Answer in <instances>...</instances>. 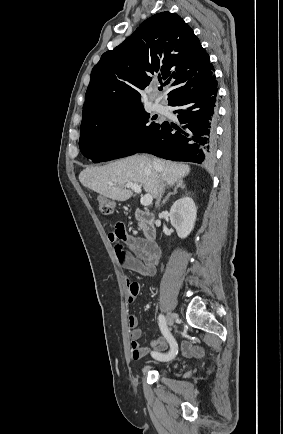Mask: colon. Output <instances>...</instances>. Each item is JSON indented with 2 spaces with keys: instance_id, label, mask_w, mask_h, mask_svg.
<instances>
[{
  "instance_id": "obj_1",
  "label": "colon",
  "mask_w": 283,
  "mask_h": 434,
  "mask_svg": "<svg viewBox=\"0 0 283 434\" xmlns=\"http://www.w3.org/2000/svg\"><path fill=\"white\" fill-rule=\"evenodd\" d=\"M97 202H98V206H99L102 213H104L106 215L113 213L114 204L110 199L103 197V196H100V197H98Z\"/></svg>"
}]
</instances>
